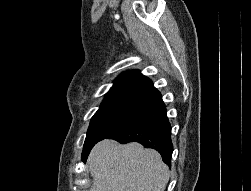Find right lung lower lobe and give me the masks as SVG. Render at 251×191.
Instances as JSON below:
<instances>
[{
    "label": "right lung lower lobe",
    "mask_w": 251,
    "mask_h": 191,
    "mask_svg": "<svg viewBox=\"0 0 251 191\" xmlns=\"http://www.w3.org/2000/svg\"><path fill=\"white\" fill-rule=\"evenodd\" d=\"M107 139H114L121 144L141 143L146 148L157 150L161 154L163 162L168 165L171 164L173 151L171 126L162 98L142 110Z\"/></svg>",
    "instance_id": "98d812e1"
}]
</instances>
